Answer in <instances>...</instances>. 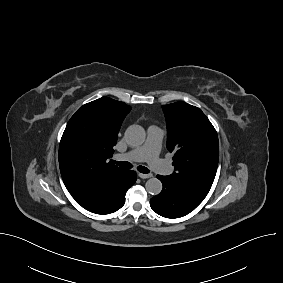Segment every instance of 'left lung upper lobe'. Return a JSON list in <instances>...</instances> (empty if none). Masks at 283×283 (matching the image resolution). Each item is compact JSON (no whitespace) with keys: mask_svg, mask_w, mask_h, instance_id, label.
I'll list each match as a JSON object with an SVG mask.
<instances>
[{"mask_svg":"<svg viewBox=\"0 0 283 283\" xmlns=\"http://www.w3.org/2000/svg\"><path fill=\"white\" fill-rule=\"evenodd\" d=\"M167 149L174 154L175 172L168 177L202 202L214 181L219 144L215 128L197 107L185 102L163 105Z\"/></svg>","mask_w":283,"mask_h":283,"instance_id":"left-lung-upper-lobe-1","label":"left lung upper lobe"}]
</instances>
